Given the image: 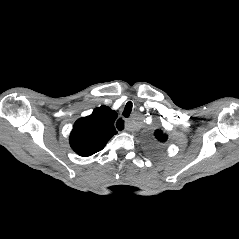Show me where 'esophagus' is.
Returning a JSON list of instances; mask_svg holds the SVG:
<instances>
[{"label": "esophagus", "instance_id": "obj_1", "mask_svg": "<svg viewBox=\"0 0 239 239\" xmlns=\"http://www.w3.org/2000/svg\"><path fill=\"white\" fill-rule=\"evenodd\" d=\"M116 127L119 131L124 129V121L121 118L117 120Z\"/></svg>", "mask_w": 239, "mask_h": 239}]
</instances>
